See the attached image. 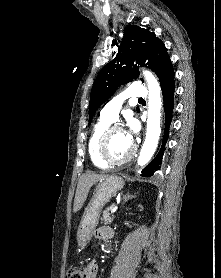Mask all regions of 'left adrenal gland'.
Masks as SVG:
<instances>
[{
  "label": "left adrenal gland",
  "instance_id": "1",
  "mask_svg": "<svg viewBox=\"0 0 221 278\" xmlns=\"http://www.w3.org/2000/svg\"><path fill=\"white\" fill-rule=\"evenodd\" d=\"M135 195H130L129 193H127L126 195L123 196L124 199V203L127 202L129 199L135 198Z\"/></svg>",
  "mask_w": 221,
  "mask_h": 278
}]
</instances>
